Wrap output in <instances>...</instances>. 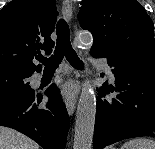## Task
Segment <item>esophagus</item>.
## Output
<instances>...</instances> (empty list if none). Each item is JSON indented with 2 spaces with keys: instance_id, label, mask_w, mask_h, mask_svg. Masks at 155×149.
Segmentation results:
<instances>
[{
  "instance_id": "34e87169",
  "label": "esophagus",
  "mask_w": 155,
  "mask_h": 149,
  "mask_svg": "<svg viewBox=\"0 0 155 149\" xmlns=\"http://www.w3.org/2000/svg\"><path fill=\"white\" fill-rule=\"evenodd\" d=\"M62 11L64 17L68 22H71L73 16V8L72 2L70 0H64L62 2ZM73 69L69 67V72L72 73ZM65 101H66V109L68 114L71 116L74 113L76 107V96L75 94H65Z\"/></svg>"
}]
</instances>
